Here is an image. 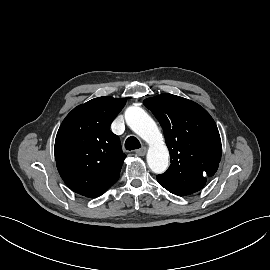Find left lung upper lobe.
Wrapping results in <instances>:
<instances>
[{
    "instance_id": "5c2ea615",
    "label": "left lung upper lobe",
    "mask_w": 270,
    "mask_h": 270,
    "mask_svg": "<svg viewBox=\"0 0 270 270\" xmlns=\"http://www.w3.org/2000/svg\"><path fill=\"white\" fill-rule=\"evenodd\" d=\"M143 103L161 124L171 156V165L157 175L158 182L179 196L201 190L221 159V139L213 118L197 103L172 94Z\"/></svg>"
}]
</instances>
